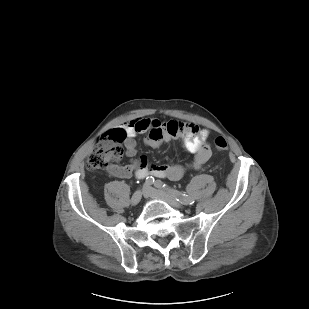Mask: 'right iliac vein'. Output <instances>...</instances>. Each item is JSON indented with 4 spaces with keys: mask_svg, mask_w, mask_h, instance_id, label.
<instances>
[{
    "mask_svg": "<svg viewBox=\"0 0 309 309\" xmlns=\"http://www.w3.org/2000/svg\"><path fill=\"white\" fill-rule=\"evenodd\" d=\"M145 186L143 187V191L137 190L136 192H134V194L132 195L131 200H130L131 205L135 206L141 201L142 194H144Z\"/></svg>",
    "mask_w": 309,
    "mask_h": 309,
    "instance_id": "1",
    "label": "right iliac vein"
}]
</instances>
